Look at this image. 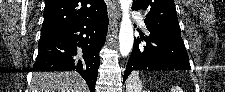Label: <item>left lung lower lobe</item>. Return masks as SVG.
I'll return each mask as SVG.
<instances>
[{
	"label": "left lung lower lobe",
	"mask_w": 225,
	"mask_h": 92,
	"mask_svg": "<svg viewBox=\"0 0 225 92\" xmlns=\"http://www.w3.org/2000/svg\"><path fill=\"white\" fill-rule=\"evenodd\" d=\"M150 35L134 39L123 81L133 70H189V58L181 34L167 27L146 25ZM146 45H139L140 41Z\"/></svg>",
	"instance_id": "obj_1"
}]
</instances>
